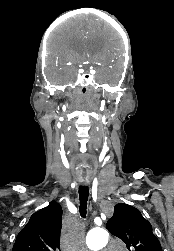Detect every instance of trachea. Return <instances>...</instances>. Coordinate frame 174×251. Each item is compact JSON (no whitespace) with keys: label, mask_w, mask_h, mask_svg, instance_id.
<instances>
[{"label":"trachea","mask_w":174,"mask_h":251,"mask_svg":"<svg viewBox=\"0 0 174 251\" xmlns=\"http://www.w3.org/2000/svg\"><path fill=\"white\" fill-rule=\"evenodd\" d=\"M89 197V189L86 186H81L79 188V201H80V206H79V212L80 215L85 218L86 213H87V201Z\"/></svg>","instance_id":"3493384b"}]
</instances>
